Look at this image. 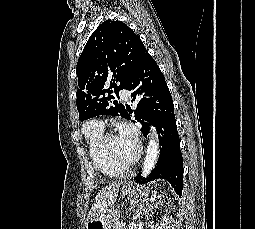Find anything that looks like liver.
<instances>
[{"label": "liver", "mask_w": 255, "mask_h": 229, "mask_svg": "<svg viewBox=\"0 0 255 229\" xmlns=\"http://www.w3.org/2000/svg\"><path fill=\"white\" fill-rule=\"evenodd\" d=\"M120 185V182L112 183L98 192L88 213V221L97 218L100 214L106 212L108 208L112 207L118 196Z\"/></svg>", "instance_id": "1"}]
</instances>
